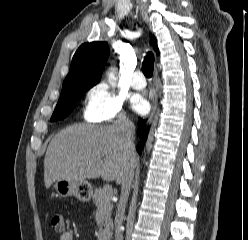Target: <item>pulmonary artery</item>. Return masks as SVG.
I'll return each instance as SVG.
<instances>
[{"mask_svg":"<svg viewBox=\"0 0 248 240\" xmlns=\"http://www.w3.org/2000/svg\"><path fill=\"white\" fill-rule=\"evenodd\" d=\"M131 85L134 89H143L146 85L145 77L141 71H135L131 77Z\"/></svg>","mask_w":248,"mask_h":240,"instance_id":"obj_1","label":"pulmonary artery"}]
</instances>
